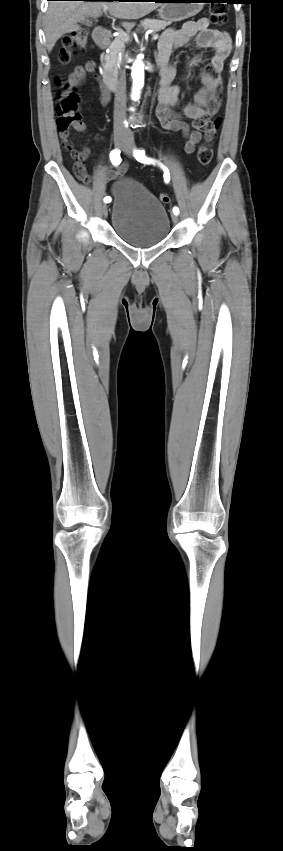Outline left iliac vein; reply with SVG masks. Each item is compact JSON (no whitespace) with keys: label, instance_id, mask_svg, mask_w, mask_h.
Returning a JSON list of instances; mask_svg holds the SVG:
<instances>
[{"label":"left iliac vein","instance_id":"obj_1","mask_svg":"<svg viewBox=\"0 0 283 851\" xmlns=\"http://www.w3.org/2000/svg\"><path fill=\"white\" fill-rule=\"evenodd\" d=\"M123 151H124V153H125L126 155H128V156H132V153H133V144H132V143H127V144H125V145H124V147H123ZM171 218H172V221H173V223H174V224H176V223L178 222V220H179V219H178V216H177L176 214H173V215L171 216Z\"/></svg>","mask_w":283,"mask_h":851}]
</instances>
